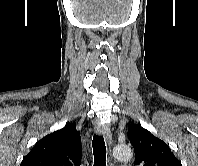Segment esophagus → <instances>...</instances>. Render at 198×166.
Masks as SVG:
<instances>
[{
	"mask_svg": "<svg viewBox=\"0 0 198 166\" xmlns=\"http://www.w3.org/2000/svg\"><path fill=\"white\" fill-rule=\"evenodd\" d=\"M95 131L98 135H103L111 149L112 147V135L109 127L105 124H97L95 126Z\"/></svg>",
	"mask_w": 198,
	"mask_h": 166,
	"instance_id": "34e87169",
	"label": "esophagus"
}]
</instances>
